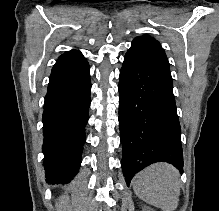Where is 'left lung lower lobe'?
<instances>
[{
	"instance_id": "obj_1",
	"label": "left lung lower lobe",
	"mask_w": 219,
	"mask_h": 211,
	"mask_svg": "<svg viewBox=\"0 0 219 211\" xmlns=\"http://www.w3.org/2000/svg\"><path fill=\"white\" fill-rule=\"evenodd\" d=\"M119 96L126 183L156 162L171 163L183 172L181 128L169 68L128 50L120 71Z\"/></svg>"
}]
</instances>
